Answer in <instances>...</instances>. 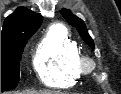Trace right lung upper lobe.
Here are the masks:
<instances>
[{
	"label": "right lung upper lobe",
	"instance_id": "cb5924a9",
	"mask_svg": "<svg viewBox=\"0 0 121 94\" xmlns=\"http://www.w3.org/2000/svg\"><path fill=\"white\" fill-rule=\"evenodd\" d=\"M41 23L42 16L40 13H34L25 7H19L5 19L1 32V43L27 33L36 32Z\"/></svg>",
	"mask_w": 121,
	"mask_h": 94
}]
</instances>
